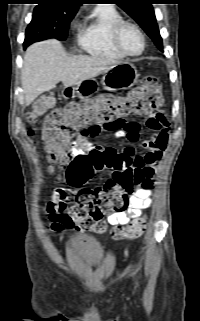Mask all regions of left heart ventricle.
<instances>
[{"label": "left heart ventricle", "instance_id": "left-heart-ventricle-1", "mask_svg": "<svg viewBox=\"0 0 200 321\" xmlns=\"http://www.w3.org/2000/svg\"><path fill=\"white\" fill-rule=\"evenodd\" d=\"M121 43L130 53H138L142 49V39L132 27H125L121 34Z\"/></svg>", "mask_w": 200, "mask_h": 321}]
</instances>
